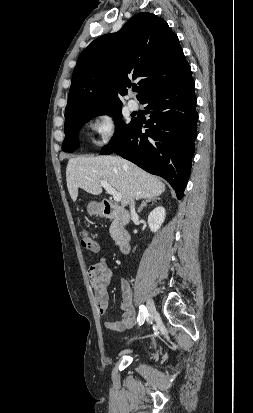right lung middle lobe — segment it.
Segmentation results:
<instances>
[{
  "instance_id": "dd1d6c3e",
  "label": "right lung middle lobe",
  "mask_w": 253,
  "mask_h": 413,
  "mask_svg": "<svg viewBox=\"0 0 253 413\" xmlns=\"http://www.w3.org/2000/svg\"><path fill=\"white\" fill-rule=\"evenodd\" d=\"M108 114L111 115L115 119V134L110 144L117 140L132 124L131 121L129 124L125 125L124 122L121 120V106L120 107H113L103 110H92L80 113L76 116H73L68 121L65 122L64 125V132H65V139L62 144V150L66 152H73L79 147L78 141V133L80 128L83 124L86 123L87 119L98 115Z\"/></svg>"
}]
</instances>
